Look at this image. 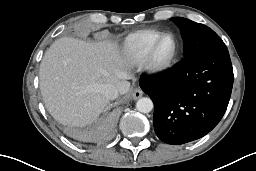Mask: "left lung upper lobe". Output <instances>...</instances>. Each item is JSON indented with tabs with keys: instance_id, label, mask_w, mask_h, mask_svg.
<instances>
[{
	"instance_id": "obj_1",
	"label": "left lung upper lobe",
	"mask_w": 256,
	"mask_h": 171,
	"mask_svg": "<svg viewBox=\"0 0 256 171\" xmlns=\"http://www.w3.org/2000/svg\"><path fill=\"white\" fill-rule=\"evenodd\" d=\"M172 20L181 31L184 44V58L204 49L226 48L220 37L206 25L182 17H173Z\"/></svg>"
}]
</instances>
